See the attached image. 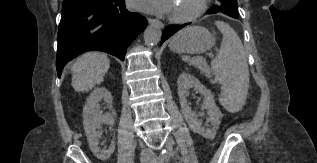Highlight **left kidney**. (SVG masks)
<instances>
[{
    "instance_id": "obj_1",
    "label": "left kidney",
    "mask_w": 317,
    "mask_h": 163,
    "mask_svg": "<svg viewBox=\"0 0 317 163\" xmlns=\"http://www.w3.org/2000/svg\"><path fill=\"white\" fill-rule=\"evenodd\" d=\"M177 85L181 111L189 128L204 138H214L221 122L222 113L216 105L211 91L189 73H181L178 77ZM190 88H194L197 92L203 95L204 101L202 107L207 110L208 120L211 124L210 127H202V121L198 120L197 115L188 105L187 94Z\"/></svg>"
}]
</instances>
